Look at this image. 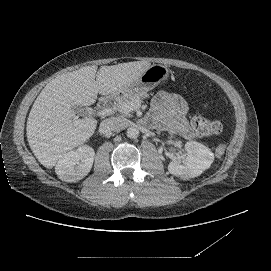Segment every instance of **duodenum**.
I'll use <instances>...</instances> for the list:
<instances>
[{
    "label": "duodenum",
    "instance_id": "410a0bca",
    "mask_svg": "<svg viewBox=\"0 0 271 271\" xmlns=\"http://www.w3.org/2000/svg\"><path fill=\"white\" fill-rule=\"evenodd\" d=\"M108 98H109V97H107V96L103 97V98L101 99V102H102V103L106 102V101L108 100Z\"/></svg>",
    "mask_w": 271,
    "mask_h": 271
}]
</instances>
